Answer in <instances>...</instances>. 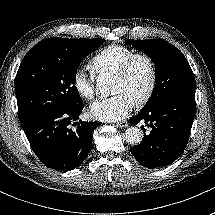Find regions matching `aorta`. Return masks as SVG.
Returning a JSON list of instances; mask_svg holds the SVG:
<instances>
[{
  "mask_svg": "<svg viewBox=\"0 0 215 215\" xmlns=\"http://www.w3.org/2000/svg\"><path fill=\"white\" fill-rule=\"evenodd\" d=\"M106 88H107V86L105 84V80H104L103 76L99 75L97 77L96 90L98 92H100L102 95H105V93L107 92V91H105ZM124 136H125L126 142L131 144V145L140 144L142 141V138H143L141 130L139 128H136V127L127 128Z\"/></svg>",
  "mask_w": 215,
  "mask_h": 215,
  "instance_id": "aorta-1",
  "label": "aorta"
}]
</instances>
